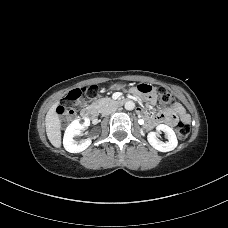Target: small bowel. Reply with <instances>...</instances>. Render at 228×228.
Masks as SVG:
<instances>
[{"label":"small bowel","mask_w":228,"mask_h":228,"mask_svg":"<svg viewBox=\"0 0 228 228\" xmlns=\"http://www.w3.org/2000/svg\"><path fill=\"white\" fill-rule=\"evenodd\" d=\"M148 99L152 102L155 101L154 95H150ZM139 110L143 115H147V111L144 108H140ZM177 118H180L185 122H189V115L185 112L184 108L179 103L174 104L172 111L151 117L148 121V124L150 126H154L159 123L172 124Z\"/></svg>","instance_id":"small-bowel-1"}]
</instances>
